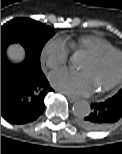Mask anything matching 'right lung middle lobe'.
Listing matches in <instances>:
<instances>
[{
	"instance_id": "1",
	"label": "right lung middle lobe",
	"mask_w": 122,
	"mask_h": 154,
	"mask_svg": "<svg viewBox=\"0 0 122 154\" xmlns=\"http://www.w3.org/2000/svg\"><path fill=\"white\" fill-rule=\"evenodd\" d=\"M54 35V30L28 18L13 19L1 27V48L11 43H20L32 60L40 64V54L45 43Z\"/></svg>"
}]
</instances>
